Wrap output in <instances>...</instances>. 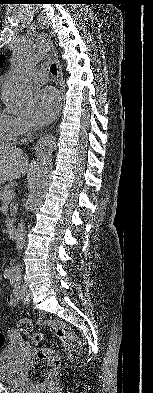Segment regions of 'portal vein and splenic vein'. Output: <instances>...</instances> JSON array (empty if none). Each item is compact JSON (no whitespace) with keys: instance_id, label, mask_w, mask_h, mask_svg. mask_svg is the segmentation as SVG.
<instances>
[{"instance_id":"obj_1","label":"portal vein and splenic vein","mask_w":153,"mask_h":393,"mask_svg":"<svg viewBox=\"0 0 153 393\" xmlns=\"http://www.w3.org/2000/svg\"><path fill=\"white\" fill-rule=\"evenodd\" d=\"M14 196H15V191H14V189H13V190H11V191L8 193L7 199H11V198L14 197Z\"/></svg>"}]
</instances>
